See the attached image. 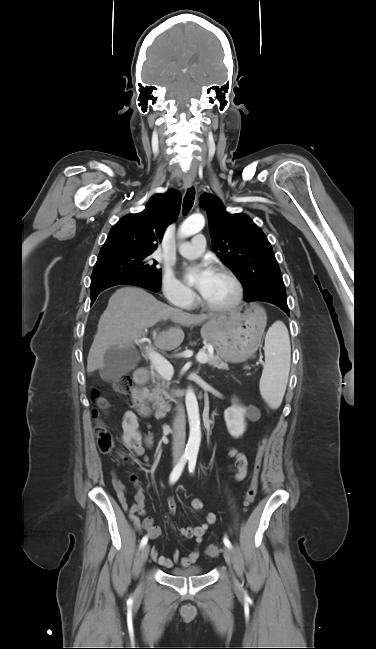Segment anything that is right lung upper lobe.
<instances>
[{
  "instance_id": "1",
  "label": "right lung upper lobe",
  "mask_w": 376,
  "mask_h": 649,
  "mask_svg": "<svg viewBox=\"0 0 376 649\" xmlns=\"http://www.w3.org/2000/svg\"><path fill=\"white\" fill-rule=\"evenodd\" d=\"M181 194L169 190L150 198L145 210L120 219L110 230L99 254L120 251L153 252L166 227L174 222L181 207Z\"/></svg>"
}]
</instances>
